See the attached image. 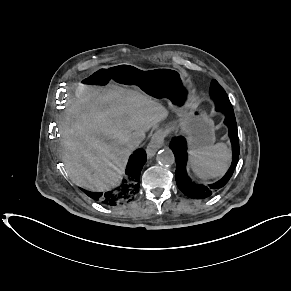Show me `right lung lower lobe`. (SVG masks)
Instances as JSON below:
<instances>
[{
  "mask_svg": "<svg viewBox=\"0 0 291 291\" xmlns=\"http://www.w3.org/2000/svg\"><path fill=\"white\" fill-rule=\"evenodd\" d=\"M146 160V152L142 148L137 149L129 158L125 178L118 188L104 193L83 191L93 200L106 206L130 202L139 192L140 173Z\"/></svg>",
  "mask_w": 291,
  "mask_h": 291,
  "instance_id": "1",
  "label": "right lung lower lobe"
}]
</instances>
